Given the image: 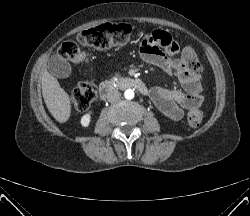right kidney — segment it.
<instances>
[{"mask_svg":"<svg viewBox=\"0 0 250 216\" xmlns=\"http://www.w3.org/2000/svg\"><path fill=\"white\" fill-rule=\"evenodd\" d=\"M91 114H92V111L86 113L85 115L82 116L81 118V125L83 127H88L90 122H91Z\"/></svg>","mask_w":250,"mask_h":216,"instance_id":"ca27d5eb","label":"right kidney"}]
</instances>
